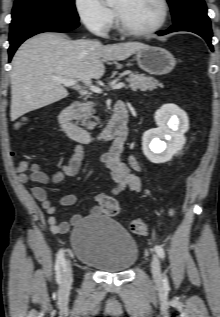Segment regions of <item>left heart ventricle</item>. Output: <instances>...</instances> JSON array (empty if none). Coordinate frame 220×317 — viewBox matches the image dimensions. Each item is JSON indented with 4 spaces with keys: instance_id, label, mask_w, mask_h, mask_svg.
I'll return each instance as SVG.
<instances>
[{
    "instance_id": "1",
    "label": "left heart ventricle",
    "mask_w": 220,
    "mask_h": 317,
    "mask_svg": "<svg viewBox=\"0 0 220 317\" xmlns=\"http://www.w3.org/2000/svg\"><path fill=\"white\" fill-rule=\"evenodd\" d=\"M112 6L121 21L135 30L154 26L162 14L159 0H115Z\"/></svg>"
}]
</instances>
